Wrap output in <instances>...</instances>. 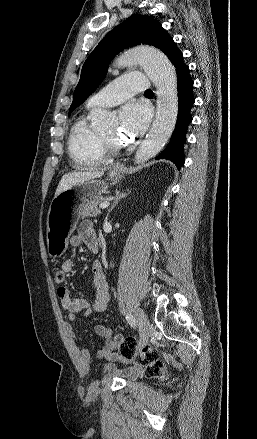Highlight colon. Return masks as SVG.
<instances>
[{"instance_id":"5ec220e1","label":"colon","mask_w":257,"mask_h":439,"mask_svg":"<svg viewBox=\"0 0 257 439\" xmlns=\"http://www.w3.org/2000/svg\"><path fill=\"white\" fill-rule=\"evenodd\" d=\"M55 282L61 284L65 281V273L57 270L54 275ZM114 349L125 359H131L135 355L141 357L140 363L145 369V375L150 378H163L165 375L162 363L155 350L148 346H139L136 340L131 337H124L120 334L113 338Z\"/></svg>"}]
</instances>
